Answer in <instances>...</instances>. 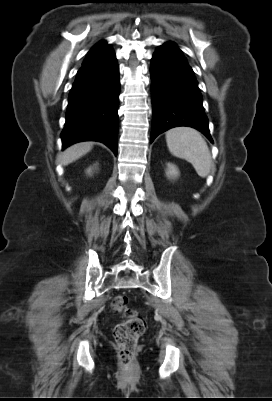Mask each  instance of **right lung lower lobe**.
Listing matches in <instances>:
<instances>
[{
    "label": "right lung lower lobe",
    "mask_w": 272,
    "mask_h": 401,
    "mask_svg": "<svg viewBox=\"0 0 272 401\" xmlns=\"http://www.w3.org/2000/svg\"><path fill=\"white\" fill-rule=\"evenodd\" d=\"M119 69L113 49L106 45L88 54L68 98L62 147L99 141L117 155Z\"/></svg>",
    "instance_id": "obj_1"
}]
</instances>
